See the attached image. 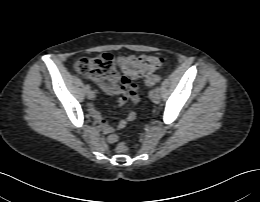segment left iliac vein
I'll use <instances>...</instances> for the list:
<instances>
[{
	"mask_svg": "<svg viewBox=\"0 0 260 202\" xmlns=\"http://www.w3.org/2000/svg\"><path fill=\"white\" fill-rule=\"evenodd\" d=\"M160 94L156 91L151 92V100L153 103L158 104L160 102Z\"/></svg>",
	"mask_w": 260,
	"mask_h": 202,
	"instance_id": "4c4485c4",
	"label": "left iliac vein"
}]
</instances>
